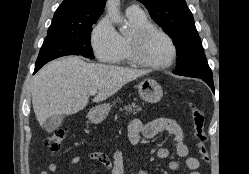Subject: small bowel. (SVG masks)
Here are the masks:
<instances>
[{"label":"small bowel","mask_w":249,"mask_h":174,"mask_svg":"<svg viewBox=\"0 0 249 174\" xmlns=\"http://www.w3.org/2000/svg\"><path fill=\"white\" fill-rule=\"evenodd\" d=\"M168 132L175 145V152L178 157H186L185 167L191 171V174H200L197 169L199 167V160L195 157L188 156V147L185 144L184 133L180 125L170 118H158L148 124L144 125L139 119H134L130 122L128 127L129 141L133 145L141 143L142 139H151L160 132ZM158 158H168L170 151L166 148H159L156 152ZM91 160L97 161L104 165L111 174H124V157L120 150H117L112 158L101 152H92L89 155ZM81 156H74L70 159L72 165L81 163ZM169 168L172 171H179L182 168L180 162L173 160L169 163ZM49 171H43L41 174L56 173L58 167L56 164H50ZM137 174H149L145 169L140 170Z\"/></svg>","instance_id":"obj_1"}]
</instances>
